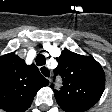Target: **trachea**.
<instances>
[{"label":"trachea","instance_id":"1","mask_svg":"<svg viewBox=\"0 0 112 112\" xmlns=\"http://www.w3.org/2000/svg\"><path fill=\"white\" fill-rule=\"evenodd\" d=\"M46 64V59H45V57L42 55V54H38L37 55V57H36V65H38V66H43V65H45ZM47 70H42V73L45 75V76H47L46 75V72Z\"/></svg>","mask_w":112,"mask_h":112}]
</instances>
